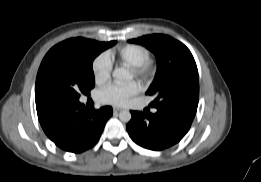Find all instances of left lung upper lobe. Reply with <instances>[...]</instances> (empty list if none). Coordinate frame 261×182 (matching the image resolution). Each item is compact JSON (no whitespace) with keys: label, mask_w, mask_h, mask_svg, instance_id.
Returning <instances> with one entry per match:
<instances>
[{"label":"left lung upper lobe","mask_w":261,"mask_h":182,"mask_svg":"<svg viewBox=\"0 0 261 182\" xmlns=\"http://www.w3.org/2000/svg\"><path fill=\"white\" fill-rule=\"evenodd\" d=\"M129 42L145 46L158 60L154 81L146 92L155 96L150 106L157 109L181 106L197 109L198 70L191 52L184 44L163 34L146 35Z\"/></svg>","instance_id":"obj_1"}]
</instances>
